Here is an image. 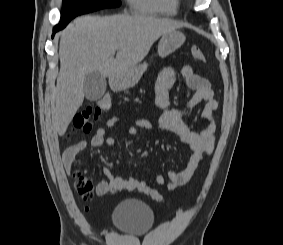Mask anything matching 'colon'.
Wrapping results in <instances>:
<instances>
[{
	"instance_id": "colon-1",
	"label": "colon",
	"mask_w": 283,
	"mask_h": 245,
	"mask_svg": "<svg viewBox=\"0 0 283 245\" xmlns=\"http://www.w3.org/2000/svg\"><path fill=\"white\" fill-rule=\"evenodd\" d=\"M190 53L194 60L200 62L205 61V56L198 46H193ZM110 108L111 97L106 95L75 115L73 119L74 130H79L85 133L89 132L94 121H96L102 113L107 112ZM75 188L84 200H90L92 198L93 184L88 178L80 173L75 175ZM110 190L112 192L137 190L156 202L162 201V195L159 191L149 187L143 181L134 178L125 179L122 177H115L110 183Z\"/></svg>"
}]
</instances>
